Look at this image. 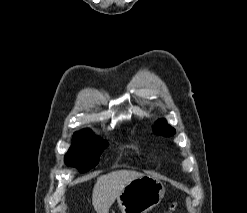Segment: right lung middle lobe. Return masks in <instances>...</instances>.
Returning <instances> with one entry per match:
<instances>
[{
    "label": "right lung middle lobe",
    "instance_id": "dd1d6c3e",
    "mask_svg": "<svg viewBox=\"0 0 247 213\" xmlns=\"http://www.w3.org/2000/svg\"><path fill=\"white\" fill-rule=\"evenodd\" d=\"M107 146L108 142L99 137H77L65 156V163L77 167L81 173L86 172L99 162Z\"/></svg>",
    "mask_w": 247,
    "mask_h": 213
}]
</instances>
